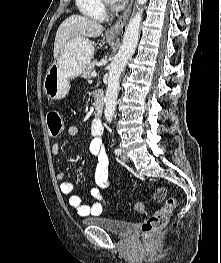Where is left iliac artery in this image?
<instances>
[{
	"mask_svg": "<svg viewBox=\"0 0 221 263\" xmlns=\"http://www.w3.org/2000/svg\"><path fill=\"white\" fill-rule=\"evenodd\" d=\"M115 154H116V155H120V154H121V149L116 148V149H115Z\"/></svg>",
	"mask_w": 221,
	"mask_h": 263,
	"instance_id": "left-iliac-artery-1",
	"label": "left iliac artery"
}]
</instances>
